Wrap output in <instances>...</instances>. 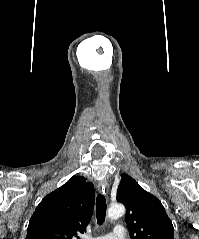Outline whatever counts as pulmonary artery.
<instances>
[{
    "mask_svg": "<svg viewBox=\"0 0 199 239\" xmlns=\"http://www.w3.org/2000/svg\"><path fill=\"white\" fill-rule=\"evenodd\" d=\"M93 239H126V233L121 225H117L113 232L107 235L99 236Z\"/></svg>",
    "mask_w": 199,
    "mask_h": 239,
    "instance_id": "obj_1",
    "label": "pulmonary artery"
}]
</instances>
